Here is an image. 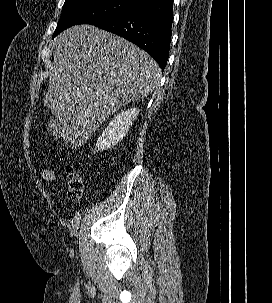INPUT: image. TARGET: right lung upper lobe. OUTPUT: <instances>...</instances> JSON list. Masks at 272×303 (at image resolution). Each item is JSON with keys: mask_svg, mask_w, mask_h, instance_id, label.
<instances>
[{"mask_svg": "<svg viewBox=\"0 0 272 303\" xmlns=\"http://www.w3.org/2000/svg\"><path fill=\"white\" fill-rule=\"evenodd\" d=\"M131 1H134V2L137 3L138 6H141V5H144L146 3L153 2L155 0H131Z\"/></svg>", "mask_w": 272, "mask_h": 303, "instance_id": "1", "label": "right lung upper lobe"}]
</instances>
